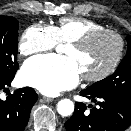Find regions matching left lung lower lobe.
Wrapping results in <instances>:
<instances>
[{"mask_svg": "<svg viewBox=\"0 0 131 131\" xmlns=\"http://www.w3.org/2000/svg\"><path fill=\"white\" fill-rule=\"evenodd\" d=\"M80 94L91 99L97 106L88 113L85 104L76 102L72 117L65 122L67 131H124L131 125L130 101L93 94L86 89Z\"/></svg>", "mask_w": 131, "mask_h": 131, "instance_id": "obj_1", "label": "left lung lower lobe"}]
</instances>
